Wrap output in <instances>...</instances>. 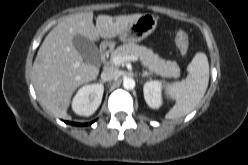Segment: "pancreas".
<instances>
[{"label": "pancreas", "instance_id": "obj_1", "mask_svg": "<svg viewBox=\"0 0 248 165\" xmlns=\"http://www.w3.org/2000/svg\"><path fill=\"white\" fill-rule=\"evenodd\" d=\"M135 55L140 58L142 65L150 70L151 73L160 75L164 78H179L180 67L176 61H165L155 54L152 49L135 43H126L117 47L111 52V58L114 56Z\"/></svg>", "mask_w": 248, "mask_h": 165}]
</instances>
